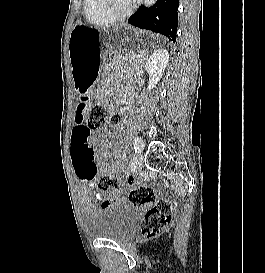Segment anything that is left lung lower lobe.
<instances>
[{"instance_id": "obj_1", "label": "left lung lower lobe", "mask_w": 265, "mask_h": 273, "mask_svg": "<svg viewBox=\"0 0 265 273\" xmlns=\"http://www.w3.org/2000/svg\"><path fill=\"white\" fill-rule=\"evenodd\" d=\"M179 0H157L151 7L141 6L128 23L141 29L160 33L176 41Z\"/></svg>"}]
</instances>
